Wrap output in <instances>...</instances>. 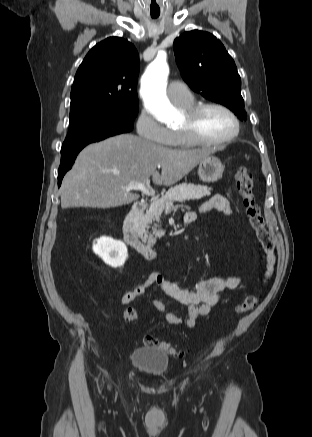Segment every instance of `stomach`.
<instances>
[{"label": "stomach", "mask_w": 312, "mask_h": 437, "mask_svg": "<svg viewBox=\"0 0 312 437\" xmlns=\"http://www.w3.org/2000/svg\"><path fill=\"white\" fill-rule=\"evenodd\" d=\"M224 166L215 156H207L199 162L198 176L207 183L216 182L222 178Z\"/></svg>", "instance_id": "obj_1"}]
</instances>
